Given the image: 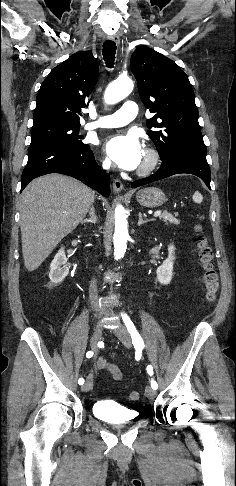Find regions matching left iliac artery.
<instances>
[{"instance_id":"44dca946","label":"left iliac artery","mask_w":236,"mask_h":486,"mask_svg":"<svg viewBox=\"0 0 236 486\" xmlns=\"http://www.w3.org/2000/svg\"><path fill=\"white\" fill-rule=\"evenodd\" d=\"M122 317H123V321L131 335V338H132V343L134 344V347H139V348H143L144 347V342L140 336V334L138 333L137 329L135 328L134 326V323L131 321V319L129 318V316L125 313L122 314ZM147 372L150 376L153 375V367L151 365H148L147 366ZM151 387L153 389H157L158 388V384L155 380H151Z\"/></svg>"}]
</instances>
